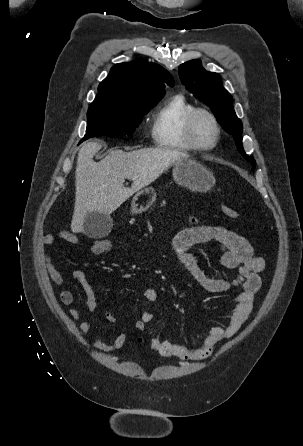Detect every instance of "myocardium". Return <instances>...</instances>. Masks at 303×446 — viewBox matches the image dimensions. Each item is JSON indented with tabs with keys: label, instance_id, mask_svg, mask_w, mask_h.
<instances>
[{
	"label": "myocardium",
	"instance_id": "1",
	"mask_svg": "<svg viewBox=\"0 0 303 446\" xmlns=\"http://www.w3.org/2000/svg\"><path fill=\"white\" fill-rule=\"evenodd\" d=\"M199 115H205L207 116L214 128H215V138L214 141L212 142V144L208 145V146H204L201 145L195 138L194 136V123L196 118ZM184 135L186 140L188 141V143L196 150H200V151H209L214 149L217 144L220 141L221 138V127L220 124L216 118V116L209 110L205 109V108H194L186 117L185 120V124H184Z\"/></svg>",
	"mask_w": 303,
	"mask_h": 446
}]
</instances>
